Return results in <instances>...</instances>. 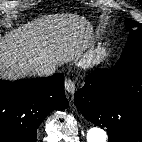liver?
I'll return each instance as SVG.
<instances>
[{
	"label": "liver",
	"instance_id": "liver-1",
	"mask_svg": "<svg viewBox=\"0 0 142 142\" xmlns=\"http://www.w3.org/2000/svg\"><path fill=\"white\" fill-rule=\"evenodd\" d=\"M91 26L76 14L44 16L0 37V77L34 76L44 63L64 64L88 42Z\"/></svg>",
	"mask_w": 142,
	"mask_h": 142
}]
</instances>
